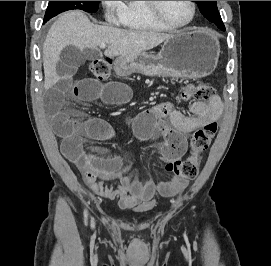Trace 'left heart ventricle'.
Instances as JSON below:
<instances>
[{
	"mask_svg": "<svg viewBox=\"0 0 271 266\" xmlns=\"http://www.w3.org/2000/svg\"><path fill=\"white\" fill-rule=\"evenodd\" d=\"M162 14L174 24H184L190 17L192 8L189 1H160Z\"/></svg>",
	"mask_w": 271,
	"mask_h": 266,
	"instance_id": "b2bd125f",
	"label": "left heart ventricle"
}]
</instances>
